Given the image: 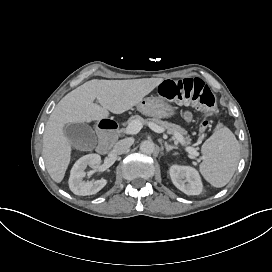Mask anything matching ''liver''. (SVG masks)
Masks as SVG:
<instances>
[{"mask_svg": "<svg viewBox=\"0 0 272 272\" xmlns=\"http://www.w3.org/2000/svg\"><path fill=\"white\" fill-rule=\"evenodd\" d=\"M164 78L90 80L64 96L51 113L43 135L47 171L60 183L70 164L72 143L64 133L67 123H92L122 114L137 106ZM98 100L101 106L94 104Z\"/></svg>", "mask_w": 272, "mask_h": 272, "instance_id": "1", "label": "liver"}]
</instances>
